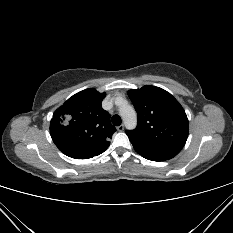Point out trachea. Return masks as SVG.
<instances>
[{
	"label": "trachea",
	"instance_id": "1",
	"mask_svg": "<svg viewBox=\"0 0 233 233\" xmlns=\"http://www.w3.org/2000/svg\"><path fill=\"white\" fill-rule=\"evenodd\" d=\"M111 121L115 126H119L121 124V117L119 115H114Z\"/></svg>",
	"mask_w": 233,
	"mask_h": 233
}]
</instances>
